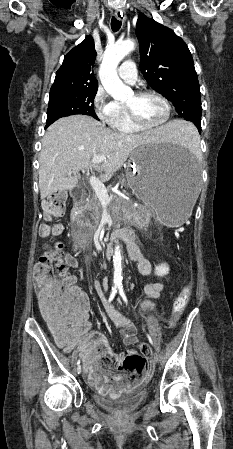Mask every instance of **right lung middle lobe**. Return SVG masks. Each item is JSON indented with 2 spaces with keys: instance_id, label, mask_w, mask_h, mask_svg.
I'll use <instances>...</instances> for the list:
<instances>
[{
  "instance_id": "dd1d6c3e",
  "label": "right lung middle lobe",
  "mask_w": 233,
  "mask_h": 449,
  "mask_svg": "<svg viewBox=\"0 0 233 449\" xmlns=\"http://www.w3.org/2000/svg\"><path fill=\"white\" fill-rule=\"evenodd\" d=\"M97 90L63 91L50 94L46 127L57 119L74 114H84L98 119L94 111Z\"/></svg>"
}]
</instances>
